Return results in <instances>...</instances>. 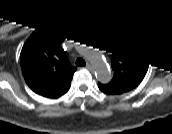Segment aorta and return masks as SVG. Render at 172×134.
I'll return each instance as SVG.
<instances>
[{"label": "aorta", "mask_w": 172, "mask_h": 134, "mask_svg": "<svg viewBox=\"0 0 172 134\" xmlns=\"http://www.w3.org/2000/svg\"><path fill=\"white\" fill-rule=\"evenodd\" d=\"M86 58L93 66L94 72L98 80L106 82L110 79V71L106 66L99 49L93 47H86Z\"/></svg>", "instance_id": "762f6f07"}]
</instances>
